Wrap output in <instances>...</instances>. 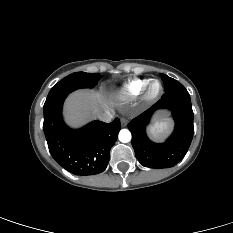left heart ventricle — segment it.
<instances>
[{"label": "left heart ventricle", "mask_w": 233, "mask_h": 233, "mask_svg": "<svg viewBox=\"0 0 233 233\" xmlns=\"http://www.w3.org/2000/svg\"><path fill=\"white\" fill-rule=\"evenodd\" d=\"M153 90H154V91L157 90V85H155V86L153 87Z\"/></svg>", "instance_id": "b2bd125f"}]
</instances>
